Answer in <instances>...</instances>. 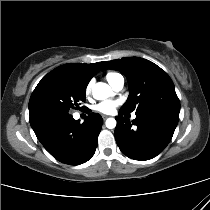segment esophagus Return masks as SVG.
I'll return each instance as SVG.
<instances>
[{
  "label": "esophagus",
  "instance_id": "obj_1",
  "mask_svg": "<svg viewBox=\"0 0 210 210\" xmlns=\"http://www.w3.org/2000/svg\"><path fill=\"white\" fill-rule=\"evenodd\" d=\"M109 116L107 115H102L103 120H106Z\"/></svg>",
  "mask_w": 210,
  "mask_h": 210
}]
</instances>
